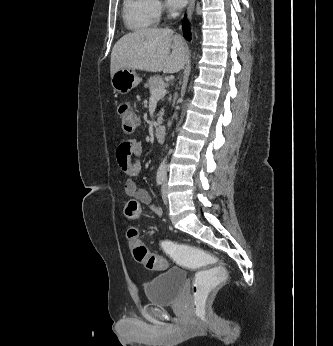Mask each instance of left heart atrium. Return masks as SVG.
<instances>
[{
  "mask_svg": "<svg viewBox=\"0 0 333 346\" xmlns=\"http://www.w3.org/2000/svg\"><path fill=\"white\" fill-rule=\"evenodd\" d=\"M188 0H167V3L169 6L173 8H180L183 7Z\"/></svg>",
  "mask_w": 333,
  "mask_h": 346,
  "instance_id": "39dd6f15",
  "label": "left heart atrium"
}]
</instances>
